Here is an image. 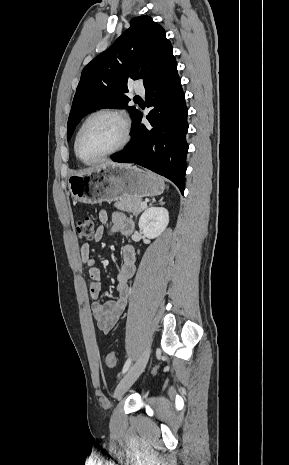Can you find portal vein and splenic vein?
Listing matches in <instances>:
<instances>
[{
	"instance_id": "1",
	"label": "portal vein and splenic vein",
	"mask_w": 289,
	"mask_h": 465,
	"mask_svg": "<svg viewBox=\"0 0 289 465\" xmlns=\"http://www.w3.org/2000/svg\"><path fill=\"white\" fill-rule=\"evenodd\" d=\"M142 206H143V207H146V206H147V203H146V202H143V203H142Z\"/></svg>"
}]
</instances>
